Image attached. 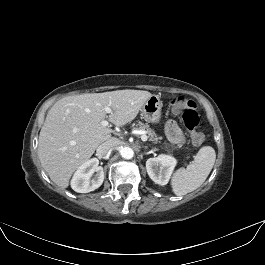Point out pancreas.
<instances>
[{
	"label": "pancreas",
	"mask_w": 265,
	"mask_h": 265,
	"mask_svg": "<svg viewBox=\"0 0 265 265\" xmlns=\"http://www.w3.org/2000/svg\"><path fill=\"white\" fill-rule=\"evenodd\" d=\"M138 125H139V128H138L139 130H146L147 131L151 141H158V139L161 138V137L157 136L151 128H149L148 124L144 125L142 123H139Z\"/></svg>",
	"instance_id": "cf45deb5"
}]
</instances>
